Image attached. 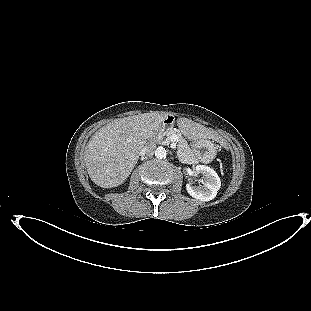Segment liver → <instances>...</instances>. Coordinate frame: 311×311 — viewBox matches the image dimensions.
Masks as SVG:
<instances>
[{
  "label": "liver",
  "instance_id": "liver-1",
  "mask_svg": "<svg viewBox=\"0 0 311 311\" xmlns=\"http://www.w3.org/2000/svg\"><path fill=\"white\" fill-rule=\"evenodd\" d=\"M168 113L150 112L115 119L99 129L90 139L85 162L90 179L103 188H113L125 182L136 165L146 139L160 129ZM180 130L205 138V128L189 119L177 120Z\"/></svg>",
  "mask_w": 311,
  "mask_h": 311
}]
</instances>
